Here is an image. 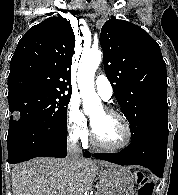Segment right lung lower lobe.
Wrapping results in <instances>:
<instances>
[{
    "mask_svg": "<svg viewBox=\"0 0 178 195\" xmlns=\"http://www.w3.org/2000/svg\"><path fill=\"white\" fill-rule=\"evenodd\" d=\"M8 162L19 163L35 157H66V122H18L9 125ZM90 157L89 152L83 154Z\"/></svg>",
    "mask_w": 178,
    "mask_h": 195,
    "instance_id": "1",
    "label": "right lung lower lobe"
}]
</instances>
